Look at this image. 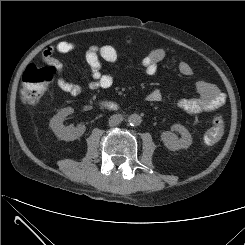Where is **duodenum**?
<instances>
[{
	"mask_svg": "<svg viewBox=\"0 0 245 245\" xmlns=\"http://www.w3.org/2000/svg\"><path fill=\"white\" fill-rule=\"evenodd\" d=\"M102 105L106 108V109H117L118 108V105L113 103V102H110V101H105L102 103Z\"/></svg>",
	"mask_w": 245,
	"mask_h": 245,
	"instance_id": "1",
	"label": "duodenum"
}]
</instances>
